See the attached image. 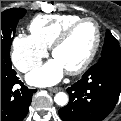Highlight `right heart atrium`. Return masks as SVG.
Returning a JSON list of instances; mask_svg holds the SVG:
<instances>
[{"instance_id": "d8ad5b80", "label": "right heart atrium", "mask_w": 121, "mask_h": 121, "mask_svg": "<svg viewBox=\"0 0 121 121\" xmlns=\"http://www.w3.org/2000/svg\"><path fill=\"white\" fill-rule=\"evenodd\" d=\"M47 54V47L32 35L17 34L12 40L11 59L15 67L23 73L37 68Z\"/></svg>"}]
</instances>
